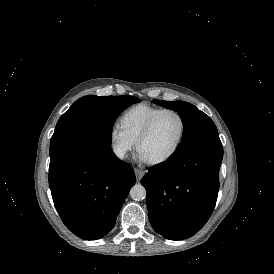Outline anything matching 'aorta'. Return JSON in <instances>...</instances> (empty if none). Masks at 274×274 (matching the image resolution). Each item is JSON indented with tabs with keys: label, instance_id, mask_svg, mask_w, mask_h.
Returning <instances> with one entry per match:
<instances>
[{
	"label": "aorta",
	"instance_id": "762f6f07",
	"mask_svg": "<svg viewBox=\"0 0 274 274\" xmlns=\"http://www.w3.org/2000/svg\"><path fill=\"white\" fill-rule=\"evenodd\" d=\"M130 197L136 201L143 200L146 197V189L141 184H136L130 190Z\"/></svg>",
	"mask_w": 274,
	"mask_h": 274
}]
</instances>
